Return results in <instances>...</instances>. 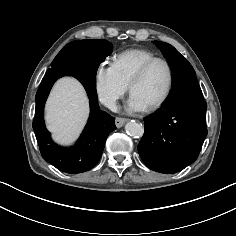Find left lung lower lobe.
I'll return each instance as SVG.
<instances>
[{
	"instance_id": "left-lung-lower-lobe-1",
	"label": "left lung lower lobe",
	"mask_w": 236,
	"mask_h": 236,
	"mask_svg": "<svg viewBox=\"0 0 236 236\" xmlns=\"http://www.w3.org/2000/svg\"><path fill=\"white\" fill-rule=\"evenodd\" d=\"M206 109L195 75L176 82L162 107L144 119L138 145L144 164L170 174L193 163L207 135Z\"/></svg>"
}]
</instances>
